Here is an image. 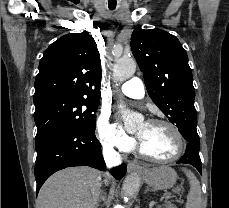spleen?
<instances>
[{"label": "spleen", "instance_id": "obj_1", "mask_svg": "<svg viewBox=\"0 0 229 208\" xmlns=\"http://www.w3.org/2000/svg\"><path fill=\"white\" fill-rule=\"evenodd\" d=\"M190 182V192L187 198L186 208H200L201 204V188L200 184L190 170H183Z\"/></svg>", "mask_w": 229, "mask_h": 208}]
</instances>
